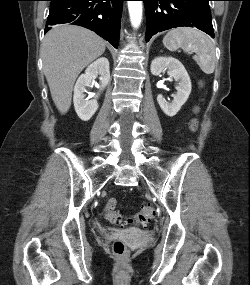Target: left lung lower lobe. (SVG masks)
<instances>
[{
  "label": "left lung lower lobe",
  "instance_id": "left-lung-lower-lobe-1",
  "mask_svg": "<svg viewBox=\"0 0 250 285\" xmlns=\"http://www.w3.org/2000/svg\"><path fill=\"white\" fill-rule=\"evenodd\" d=\"M145 4L146 42L157 32L171 28L196 27L214 37L209 1L142 0Z\"/></svg>",
  "mask_w": 250,
  "mask_h": 285
}]
</instances>
